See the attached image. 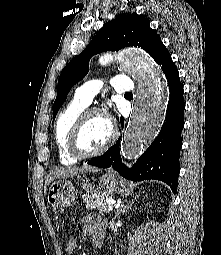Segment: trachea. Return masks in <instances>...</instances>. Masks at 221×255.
<instances>
[{
  "label": "trachea",
  "mask_w": 221,
  "mask_h": 255,
  "mask_svg": "<svg viewBox=\"0 0 221 255\" xmlns=\"http://www.w3.org/2000/svg\"><path fill=\"white\" fill-rule=\"evenodd\" d=\"M126 95H132L131 93H127Z\"/></svg>",
  "instance_id": "1"
}]
</instances>
